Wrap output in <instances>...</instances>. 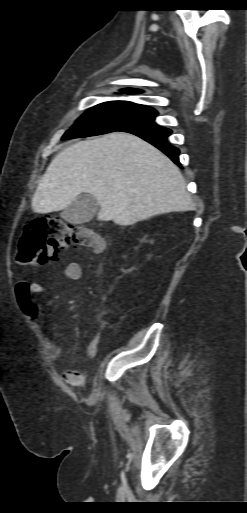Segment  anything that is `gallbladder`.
Instances as JSON below:
<instances>
[{"label":"gallbladder","mask_w":247,"mask_h":513,"mask_svg":"<svg viewBox=\"0 0 247 513\" xmlns=\"http://www.w3.org/2000/svg\"><path fill=\"white\" fill-rule=\"evenodd\" d=\"M98 210L96 199L90 194H83L79 195L60 215L68 223L84 224L91 221Z\"/></svg>","instance_id":"gallbladder-1"}]
</instances>
